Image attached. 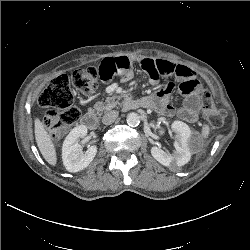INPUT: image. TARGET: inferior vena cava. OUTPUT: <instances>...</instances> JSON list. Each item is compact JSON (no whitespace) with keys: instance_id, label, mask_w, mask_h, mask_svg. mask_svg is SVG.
Returning a JSON list of instances; mask_svg holds the SVG:
<instances>
[{"instance_id":"obj_1","label":"inferior vena cava","mask_w":250,"mask_h":250,"mask_svg":"<svg viewBox=\"0 0 250 250\" xmlns=\"http://www.w3.org/2000/svg\"><path fill=\"white\" fill-rule=\"evenodd\" d=\"M118 114V111L115 110L106 112L102 117V123L105 125L112 124L118 117Z\"/></svg>"}]
</instances>
